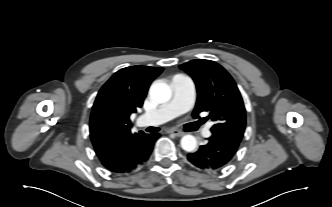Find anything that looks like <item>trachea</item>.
I'll return each mask as SVG.
<instances>
[{"mask_svg": "<svg viewBox=\"0 0 332 207\" xmlns=\"http://www.w3.org/2000/svg\"><path fill=\"white\" fill-rule=\"evenodd\" d=\"M201 124H203V122H202V121H199V122H197L195 125H196V127H198V126H200ZM146 130H147L148 132H158V131H159V129L156 128V127H148Z\"/></svg>", "mask_w": 332, "mask_h": 207, "instance_id": "trachea-1", "label": "trachea"}]
</instances>
